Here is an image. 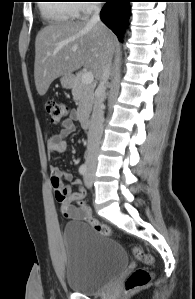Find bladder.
Listing matches in <instances>:
<instances>
[{"label": "bladder", "instance_id": "31cf9c89", "mask_svg": "<svg viewBox=\"0 0 195 299\" xmlns=\"http://www.w3.org/2000/svg\"><path fill=\"white\" fill-rule=\"evenodd\" d=\"M63 245L65 282L70 290L76 292H97L114 281L128 265L122 247L84 221L65 225Z\"/></svg>", "mask_w": 195, "mask_h": 299}]
</instances>
